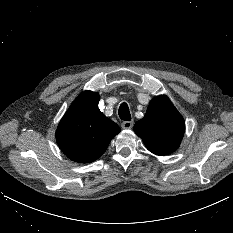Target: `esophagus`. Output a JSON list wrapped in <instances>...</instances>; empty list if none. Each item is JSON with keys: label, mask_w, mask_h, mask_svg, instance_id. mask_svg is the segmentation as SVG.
Returning <instances> with one entry per match:
<instances>
[{"label": "esophagus", "mask_w": 233, "mask_h": 233, "mask_svg": "<svg viewBox=\"0 0 233 233\" xmlns=\"http://www.w3.org/2000/svg\"><path fill=\"white\" fill-rule=\"evenodd\" d=\"M121 126L123 129H131L133 127V121H124Z\"/></svg>", "instance_id": "1"}]
</instances>
